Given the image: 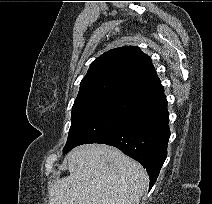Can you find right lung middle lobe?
Returning a JSON list of instances; mask_svg holds the SVG:
<instances>
[{"mask_svg":"<svg viewBox=\"0 0 212 204\" xmlns=\"http://www.w3.org/2000/svg\"><path fill=\"white\" fill-rule=\"evenodd\" d=\"M142 106L140 103L120 98L95 99L73 105L64 153L78 145L99 141L124 125Z\"/></svg>","mask_w":212,"mask_h":204,"instance_id":"1","label":"right lung middle lobe"}]
</instances>
